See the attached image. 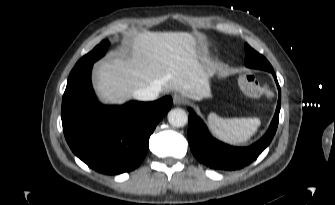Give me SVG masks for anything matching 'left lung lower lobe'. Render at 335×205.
I'll return each mask as SVG.
<instances>
[{
  "mask_svg": "<svg viewBox=\"0 0 335 205\" xmlns=\"http://www.w3.org/2000/svg\"><path fill=\"white\" fill-rule=\"evenodd\" d=\"M278 87L279 98L275 115L266 134L249 147H233L213 138L206 125L189 108L188 141L193 155L207 167L218 170H236L249 165L272 141L279 122L281 107V90L271 71Z\"/></svg>",
  "mask_w": 335,
  "mask_h": 205,
  "instance_id": "obj_1",
  "label": "left lung lower lobe"
}]
</instances>
